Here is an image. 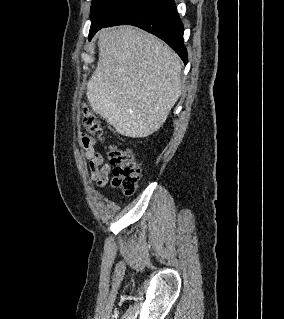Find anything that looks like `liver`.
Here are the masks:
<instances>
[{"mask_svg":"<svg viewBox=\"0 0 284 319\" xmlns=\"http://www.w3.org/2000/svg\"><path fill=\"white\" fill-rule=\"evenodd\" d=\"M99 58L87 83L96 114L131 138L156 132L181 94V62L154 35L123 26L98 32Z\"/></svg>","mask_w":284,"mask_h":319,"instance_id":"liver-1","label":"liver"}]
</instances>
